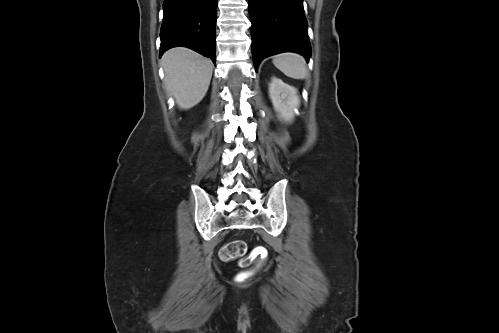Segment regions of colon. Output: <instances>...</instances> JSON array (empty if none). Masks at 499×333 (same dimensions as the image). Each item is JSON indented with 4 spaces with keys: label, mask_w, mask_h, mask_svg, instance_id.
Instances as JSON below:
<instances>
[{
    "label": "colon",
    "mask_w": 499,
    "mask_h": 333,
    "mask_svg": "<svg viewBox=\"0 0 499 333\" xmlns=\"http://www.w3.org/2000/svg\"><path fill=\"white\" fill-rule=\"evenodd\" d=\"M246 252V243L242 240H235L222 247L220 257L224 261L238 259L241 267H247L256 258L264 259L267 256V251L264 248L254 250L249 256H246Z\"/></svg>",
    "instance_id": "1"
}]
</instances>
